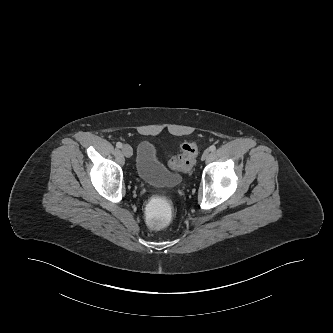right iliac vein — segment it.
Here are the masks:
<instances>
[{"label": "right iliac vein", "mask_w": 333, "mask_h": 333, "mask_svg": "<svg viewBox=\"0 0 333 333\" xmlns=\"http://www.w3.org/2000/svg\"><path fill=\"white\" fill-rule=\"evenodd\" d=\"M122 153H123L124 156H126V157H131L132 154H133V150H132L131 146H129V145H124V146L122 147Z\"/></svg>", "instance_id": "1"}]
</instances>
